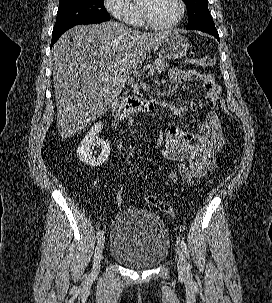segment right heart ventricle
Here are the masks:
<instances>
[{
  "label": "right heart ventricle",
  "mask_w": 272,
  "mask_h": 303,
  "mask_svg": "<svg viewBox=\"0 0 272 303\" xmlns=\"http://www.w3.org/2000/svg\"><path fill=\"white\" fill-rule=\"evenodd\" d=\"M135 8H136V13H137V22L136 23H139L140 22V18H141L140 9H139L138 5H135Z\"/></svg>",
  "instance_id": "1"
}]
</instances>
